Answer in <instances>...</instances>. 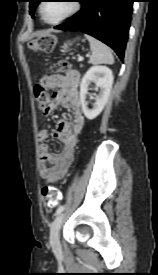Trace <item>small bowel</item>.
<instances>
[{
    "instance_id": "obj_1",
    "label": "small bowel",
    "mask_w": 158,
    "mask_h": 275,
    "mask_svg": "<svg viewBox=\"0 0 158 275\" xmlns=\"http://www.w3.org/2000/svg\"><path fill=\"white\" fill-rule=\"evenodd\" d=\"M80 80V73L74 69L68 70L65 75H50L43 79L45 86L59 90L52 109L61 105L72 110L71 122L63 118L57 121V130L54 135L63 144V149L59 153L52 154L49 152L46 143L49 136L47 129H42L38 133L39 174L47 182L55 183L65 177L67 169L73 160L78 135L84 127L85 118L79 94Z\"/></svg>"
}]
</instances>
